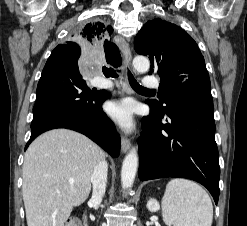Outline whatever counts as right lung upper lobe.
Returning <instances> with one entry per match:
<instances>
[{"label": "right lung upper lobe", "instance_id": "right-lung-upper-lobe-1", "mask_svg": "<svg viewBox=\"0 0 247 226\" xmlns=\"http://www.w3.org/2000/svg\"><path fill=\"white\" fill-rule=\"evenodd\" d=\"M112 31L113 29L110 26H106L102 22H90L77 34V37L85 44H103L107 63L119 67L121 65L119 50L114 43L106 39ZM67 44L78 46L74 42H67Z\"/></svg>", "mask_w": 247, "mask_h": 226}]
</instances>
